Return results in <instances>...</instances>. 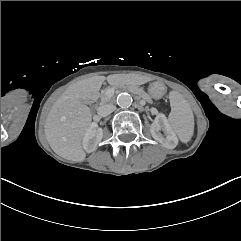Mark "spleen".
Instances as JSON below:
<instances>
[{
    "label": "spleen",
    "instance_id": "3e777b00",
    "mask_svg": "<svg viewBox=\"0 0 241 241\" xmlns=\"http://www.w3.org/2000/svg\"><path fill=\"white\" fill-rule=\"evenodd\" d=\"M171 112L168 120L179 137L180 141L187 143L194 133V115L191 107L178 91L169 93Z\"/></svg>",
    "mask_w": 241,
    "mask_h": 241
}]
</instances>
